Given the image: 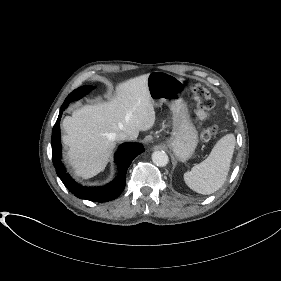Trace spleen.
Here are the masks:
<instances>
[{"label":"spleen","instance_id":"3e777b00","mask_svg":"<svg viewBox=\"0 0 281 281\" xmlns=\"http://www.w3.org/2000/svg\"><path fill=\"white\" fill-rule=\"evenodd\" d=\"M235 143L233 134L222 137L204 161L184 174V181L187 186L204 195L219 190L226 181Z\"/></svg>","mask_w":281,"mask_h":281}]
</instances>
